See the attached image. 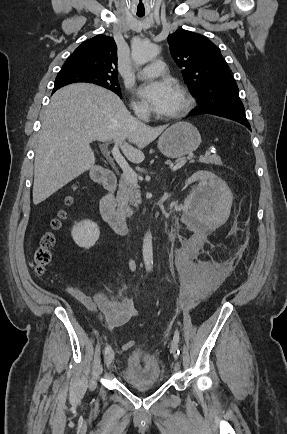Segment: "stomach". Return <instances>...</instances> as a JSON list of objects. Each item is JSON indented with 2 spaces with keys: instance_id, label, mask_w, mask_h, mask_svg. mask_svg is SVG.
Segmentation results:
<instances>
[{
  "instance_id": "0dacf381",
  "label": "stomach",
  "mask_w": 287,
  "mask_h": 434,
  "mask_svg": "<svg viewBox=\"0 0 287 434\" xmlns=\"http://www.w3.org/2000/svg\"><path fill=\"white\" fill-rule=\"evenodd\" d=\"M201 143L196 127L178 122L166 129L158 139V149L169 158H179L195 151Z\"/></svg>"
}]
</instances>
